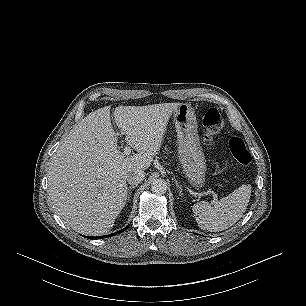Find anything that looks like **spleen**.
<instances>
[{
  "instance_id": "obj_1",
  "label": "spleen",
  "mask_w": 306,
  "mask_h": 306,
  "mask_svg": "<svg viewBox=\"0 0 306 306\" xmlns=\"http://www.w3.org/2000/svg\"><path fill=\"white\" fill-rule=\"evenodd\" d=\"M251 196V185H242L214 206L202 201L193 205L198 226L211 232L225 230L234 225L245 213Z\"/></svg>"
}]
</instances>
